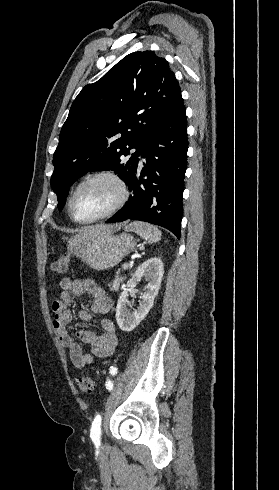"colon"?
I'll return each instance as SVG.
<instances>
[{"label": "colon", "instance_id": "1", "mask_svg": "<svg viewBox=\"0 0 279 490\" xmlns=\"http://www.w3.org/2000/svg\"><path fill=\"white\" fill-rule=\"evenodd\" d=\"M69 257L67 255H60L56 257L52 262V270L60 275H64L69 266ZM94 379L88 373H83L77 378V386L83 393L91 394L94 390Z\"/></svg>", "mask_w": 279, "mask_h": 490}]
</instances>
